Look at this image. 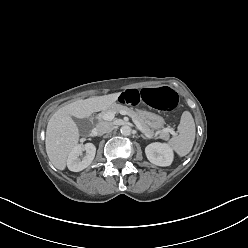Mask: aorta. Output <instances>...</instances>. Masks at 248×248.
<instances>
[{"label":"aorta","mask_w":248,"mask_h":248,"mask_svg":"<svg viewBox=\"0 0 248 248\" xmlns=\"http://www.w3.org/2000/svg\"><path fill=\"white\" fill-rule=\"evenodd\" d=\"M120 131H121V134L124 136H129L132 133V129L128 125L122 126Z\"/></svg>","instance_id":"obj_1"}]
</instances>
